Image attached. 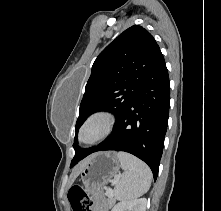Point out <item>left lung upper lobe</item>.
Listing matches in <instances>:
<instances>
[{
	"label": "left lung upper lobe",
	"mask_w": 221,
	"mask_h": 211,
	"mask_svg": "<svg viewBox=\"0 0 221 211\" xmlns=\"http://www.w3.org/2000/svg\"><path fill=\"white\" fill-rule=\"evenodd\" d=\"M153 36L134 25L121 33L96 58L80 104L76 132L86 118L97 111H110L119 122L141 88L147 72L160 54ZM73 167L93 148L81 149L75 138Z\"/></svg>",
	"instance_id": "left-lung-upper-lobe-1"
}]
</instances>
